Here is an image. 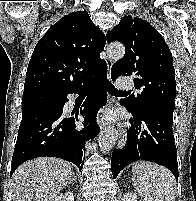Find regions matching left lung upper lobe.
I'll list each match as a JSON object with an SVG mask.
<instances>
[{
    "mask_svg": "<svg viewBox=\"0 0 196 201\" xmlns=\"http://www.w3.org/2000/svg\"><path fill=\"white\" fill-rule=\"evenodd\" d=\"M107 42L120 41L125 55L113 64L111 77L135 75L134 86L140 94L122 100L131 112L138 113L146 106H156L174 112L175 70L168 45L147 21L124 16L118 25L107 32Z\"/></svg>",
    "mask_w": 196,
    "mask_h": 201,
    "instance_id": "1",
    "label": "left lung upper lobe"
}]
</instances>
